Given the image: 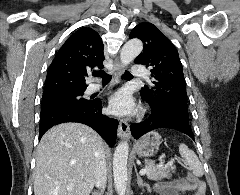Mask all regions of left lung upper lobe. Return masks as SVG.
<instances>
[{
  "mask_svg": "<svg viewBox=\"0 0 240 195\" xmlns=\"http://www.w3.org/2000/svg\"><path fill=\"white\" fill-rule=\"evenodd\" d=\"M129 38H138L144 44L143 52L135 63L152 67L151 77L155 81L140 90L141 97L149 103L152 112L174 110L188 115L185 79L176 48L151 23L138 24Z\"/></svg>",
  "mask_w": 240,
  "mask_h": 195,
  "instance_id": "5c2ea615",
  "label": "left lung upper lobe"
}]
</instances>
